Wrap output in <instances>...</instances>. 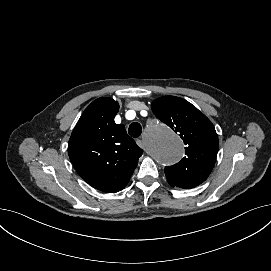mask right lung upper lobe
<instances>
[{
    "label": "right lung upper lobe",
    "mask_w": 271,
    "mask_h": 271,
    "mask_svg": "<svg viewBox=\"0 0 271 271\" xmlns=\"http://www.w3.org/2000/svg\"><path fill=\"white\" fill-rule=\"evenodd\" d=\"M118 102L98 98L83 112L68 144L69 158L78 174L92 187L108 193L122 190L143 150L114 117Z\"/></svg>",
    "instance_id": "cb5924a9"
}]
</instances>
